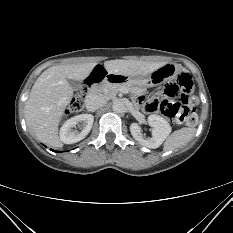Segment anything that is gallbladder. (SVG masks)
Masks as SVG:
<instances>
[{
	"mask_svg": "<svg viewBox=\"0 0 233 233\" xmlns=\"http://www.w3.org/2000/svg\"><path fill=\"white\" fill-rule=\"evenodd\" d=\"M71 88L74 90V91H77L81 88V82L80 81H77V80H68Z\"/></svg>",
	"mask_w": 233,
	"mask_h": 233,
	"instance_id": "1",
	"label": "gallbladder"
}]
</instances>
